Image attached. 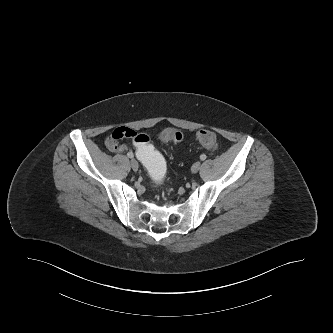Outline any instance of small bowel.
<instances>
[{
	"label": "small bowel",
	"mask_w": 333,
	"mask_h": 333,
	"mask_svg": "<svg viewBox=\"0 0 333 333\" xmlns=\"http://www.w3.org/2000/svg\"><path fill=\"white\" fill-rule=\"evenodd\" d=\"M135 139L136 132L134 128L128 126H116L111 129L109 137L105 140V144L112 153H122L128 150V146L123 143L133 142Z\"/></svg>",
	"instance_id": "c3829d8e"
}]
</instances>
